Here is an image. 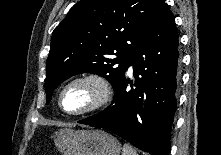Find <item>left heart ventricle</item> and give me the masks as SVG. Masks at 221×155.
<instances>
[{
  "label": "left heart ventricle",
  "mask_w": 221,
  "mask_h": 155,
  "mask_svg": "<svg viewBox=\"0 0 221 155\" xmlns=\"http://www.w3.org/2000/svg\"><path fill=\"white\" fill-rule=\"evenodd\" d=\"M95 92L91 86L75 85L63 96V105L68 111H79L92 103Z\"/></svg>",
  "instance_id": "left-heart-ventricle-1"
}]
</instances>
